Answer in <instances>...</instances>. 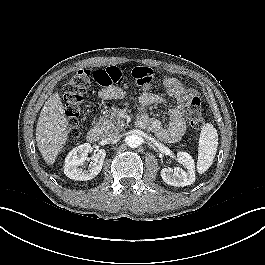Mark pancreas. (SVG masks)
Here are the masks:
<instances>
[{"mask_svg": "<svg viewBox=\"0 0 265 265\" xmlns=\"http://www.w3.org/2000/svg\"><path fill=\"white\" fill-rule=\"evenodd\" d=\"M103 136L111 133H118L124 128V121L118 117V109L111 108L106 114L100 117L96 123Z\"/></svg>", "mask_w": 265, "mask_h": 265, "instance_id": "pancreas-1", "label": "pancreas"}]
</instances>
